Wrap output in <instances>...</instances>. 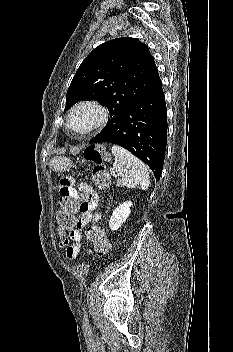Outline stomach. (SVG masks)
Segmentation results:
<instances>
[{
    "instance_id": "1",
    "label": "stomach",
    "mask_w": 233,
    "mask_h": 352,
    "mask_svg": "<svg viewBox=\"0 0 233 352\" xmlns=\"http://www.w3.org/2000/svg\"><path fill=\"white\" fill-rule=\"evenodd\" d=\"M51 167L56 171H62L69 166V160L65 157L56 156L50 161Z\"/></svg>"
}]
</instances>
